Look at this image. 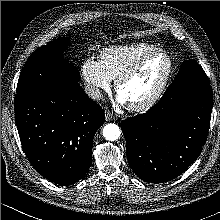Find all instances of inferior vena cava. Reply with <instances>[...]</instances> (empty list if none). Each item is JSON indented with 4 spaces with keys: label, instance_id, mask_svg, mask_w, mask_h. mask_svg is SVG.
I'll return each instance as SVG.
<instances>
[{
    "label": "inferior vena cava",
    "instance_id": "obj_1",
    "mask_svg": "<svg viewBox=\"0 0 220 220\" xmlns=\"http://www.w3.org/2000/svg\"><path fill=\"white\" fill-rule=\"evenodd\" d=\"M85 92L91 99L101 100L103 98L101 90L95 86L92 85L85 86Z\"/></svg>",
    "mask_w": 220,
    "mask_h": 220
}]
</instances>
